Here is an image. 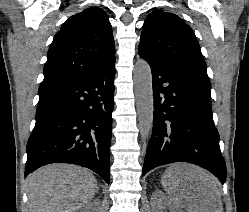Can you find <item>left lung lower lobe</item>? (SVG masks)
<instances>
[{"instance_id": "left-lung-lower-lobe-1", "label": "left lung lower lobe", "mask_w": 249, "mask_h": 212, "mask_svg": "<svg viewBox=\"0 0 249 212\" xmlns=\"http://www.w3.org/2000/svg\"><path fill=\"white\" fill-rule=\"evenodd\" d=\"M153 130L142 175L173 162L199 165L226 181V165L214 126L209 80L150 61Z\"/></svg>"}]
</instances>
